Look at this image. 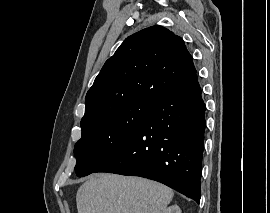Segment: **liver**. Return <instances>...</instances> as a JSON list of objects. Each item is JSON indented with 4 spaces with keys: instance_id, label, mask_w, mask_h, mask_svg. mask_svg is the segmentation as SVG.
<instances>
[{
    "instance_id": "1",
    "label": "liver",
    "mask_w": 270,
    "mask_h": 213,
    "mask_svg": "<svg viewBox=\"0 0 270 213\" xmlns=\"http://www.w3.org/2000/svg\"><path fill=\"white\" fill-rule=\"evenodd\" d=\"M174 192L160 183L115 174L91 176L78 189V213H161Z\"/></svg>"
}]
</instances>
